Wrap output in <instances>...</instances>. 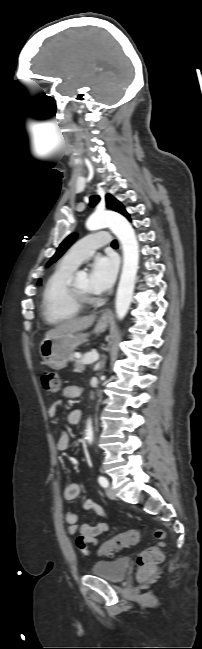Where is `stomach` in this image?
Here are the masks:
<instances>
[{
    "mask_svg": "<svg viewBox=\"0 0 202 649\" xmlns=\"http://www.w3.org/2000/svg\"><path fill=\"white\" fill-rule=\"evenodd\" d=\"M108 318L102 316L94 329L95 333L105 331ZM87 334L69 332L57 338L43 340L39 345V353L46 365L54 370L66 367L67 362L72 359L73 352L77 347L87 341Z\"/></svg>",
    "mask_w": 202,
    "mask_h": 649,
    "instance_id": "obj_1",
    "label": "stomach"
}]
</instances>
